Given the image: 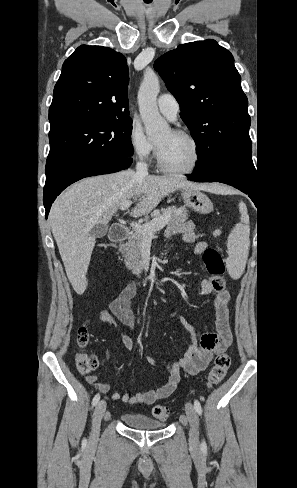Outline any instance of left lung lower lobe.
Returning a JSON list of instances; mask_svg holds the SVG:
<instances>
[{
  "label": "left lung lower lobe",
  "mask_w": 297,
  "mask_h": 488,
  "mask_svg": "<svg viewBox=\"0 0 297 488\" xmlns=\"http://www.w3.org/2000/svg\"><path fill=\"white\" fill-rule=\"evenodd\" d=\"M187 177L190 180L197 182H221L231 185L245 194H248L252 201L256 203V192L258 191V186L256 187V180L237 169L220 168L204 174L193 172L192 174L187 175Z\"/></svg>",
  "instance_id": "left-lung-lower-lobe-1"
}]
</instances>
